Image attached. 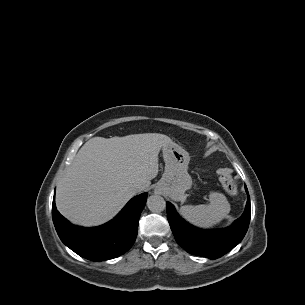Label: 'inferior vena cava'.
Returning <instances> with one entry per match:
<instances>
[{"label": "inferior vena cava", "mask_w": 305, "mask_h": 305, "mask_svg": "<svg viewBox=\"0 0 305 305\" xmlns=\"http://www.w3.org/2000/svg\"><path fill=\"white\" fill-rule=\"evenodd\" d=\"M133 187H134L135 189H139V188H140V186H139L138 184H134Z\"/></svg>", "instance_id": "inferior-vena-cava-1"}]
</instances>
